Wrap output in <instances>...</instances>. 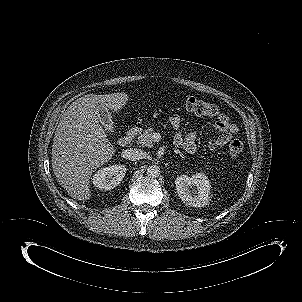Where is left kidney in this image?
Masks as SVG:
<instances>
[{
    "label": "left kidney",
    "mask_w": 302,
    "mask_h": 302,
    "mask_svg": "<svg viewBox=\"0 0 302 302\" xmlns=\"http://www.w3.org/2000/svg\"><path fill=\"white\" fill-rule=\"evenodd\" d=\"M176 190L181 200L188 206L203 207L209 204L211 185L204 173L192 177L180 175L175 180Z\"/></svg>",
    "instance_id": "obj_1"
}]
</instances>
